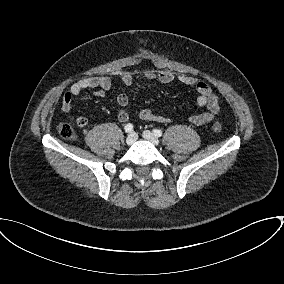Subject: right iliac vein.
<instances>
[{"instance_id":"obj_1","label":"right iliac vein","mask_w":284,"mask_h":284,"mask_svg":"<svg viewBox=\"0 0 284 284\" xmlns=\"http://www.w3.org/2000/svg\"><path fill=\"white\" fill-rule=\"evenodd\" d=\"M137 140V134L132 132L126 138L127 145H132Z\"/></svg>"}]
</instances>
